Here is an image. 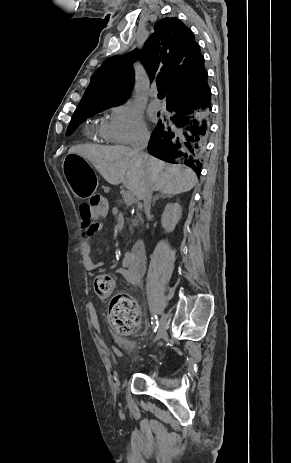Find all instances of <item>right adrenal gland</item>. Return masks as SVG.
<instances>
[{
    "label": "right adrenal gland",
    "mask_w": 291,
    "mask_h": 463,
    "mask_svg": "<svg viewBox=\"0 0 291 463\" xmlns=\"http://www.w3.org/2000/svg\"><path fill=\"white\" fill-rule=\"evenodd\" d=\"M167 197L170 198L171 195H168V194H157V195H155V196L153 197L152 206H154V205H155V202H156L157 200H159L160 198L164 199V198H167Z\"/></svg>",
    "instance_id": "obj_1"
}]
</instances>
